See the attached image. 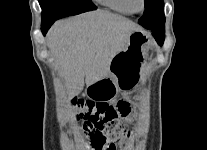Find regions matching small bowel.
Here are the masks:
<instances>
[{
	"instance_id": "obj_1",
	"label": "small bowel",
	"mask_w": 207,
	"mask_h": 150,
	"mask_svg": "<svg viewBox=\"0 0 207 150\" xmlns=\"http://www.w3.org/2000/svg\"><path fill=\"white\" fill-rule=\"evenodd\" d=\"M90 140H91V144H92V138L90 137ZM92 148H93V150H95V148L93 147V145H92Z\"/></svg>"
}]
</instances>
